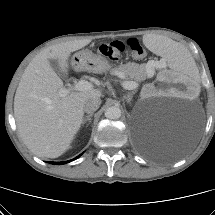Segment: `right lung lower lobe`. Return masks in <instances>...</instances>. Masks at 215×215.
Listing matches in <instances>:
<instances>
[{"label":"right lung lower lobe","instance_id":"obj_1","mask_svg":"<svg viewBox=\"0 0 215 215\" xmlns=\"http://www.w3.org/2000/svg\"><path fill=\"white\" fill-rule=\"evenodd\" d=\"M78 157H80V155L77 156L76 158H74L73 160L77 159ZM68 162H70V160L69 161H65V162H50V163L51 164H65V163H68Z\"/></svg>","mask_w":215,"mask_h":215}]
</instances>
